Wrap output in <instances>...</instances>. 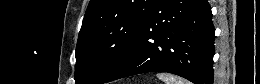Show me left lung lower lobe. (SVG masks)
Segmentation results:
<instances>
[{
    "instance_id": "left-lung-lower-lobe-1",
    "label": "left lung lower lobe",
    "mask_w": 260,
    "mask_h": 84,
    "mask_svg": "<svg viewBox=\"0 0 260 84\" xmlns=\"http://www.w3.org/2000/svg\"><path fill=\"white\" fill-rule=\"evenodd\" d=\"M215 30L207 0H156L130 51L106 80L169 72L213 84Z\"/></svg>"
}]
</instances>
